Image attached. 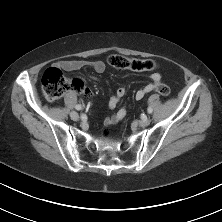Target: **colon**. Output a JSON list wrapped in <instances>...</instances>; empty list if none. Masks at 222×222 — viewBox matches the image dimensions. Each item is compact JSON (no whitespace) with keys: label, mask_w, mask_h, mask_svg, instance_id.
<instances>
[{"label":"colon","mask_w":222,"mask_h":222,"mask_svg":"<svg viewBox=\"0 0 222 222\" xmlns=\"http://www.w3.org/2000/svg\"><path fill=\"white\" fill-rule=\"evenodd\" d=\"M107 63L116 69H130L133 71H150L156 67L153 60L130 58L120 54L108 56ZM41 85L48 100H56L62 97L73 87L72 81L57 67H50L43 73ZM156 91L163 96L169 94V88L166 85H158ZM105 134H108V130H105Z\"/></svg>","instance_id":"colon-1"}]
</instances>
